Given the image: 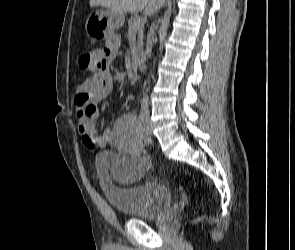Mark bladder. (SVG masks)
I'll list each match as a JSON object with an SVG mask.
<instances>
[{"mask_svg": "<svg viewBox=\"0 0 295 250\" xmlns=\"http://www.w3.org/2000/svg\"><path fill=\"white\" fill-rule=\"evenodd\" d=\"M116 161L118 159L112 151L96 156V167L110 205L132 219L156 220L162 217L171 203L169 189L154 179L129 186L119 184L116 175H110Z\"/></svg>", "mask_w": 295, "mask_h": 250, "instance_id": "1", "label": "bladder"}]
</instances>
